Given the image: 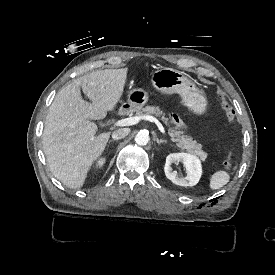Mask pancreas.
Wrapping results in <instances>:
<instances>
[{"mask_svg": "<svg viewBox=\"0 0 275 275\" xmlns=\"http://www.w3.org/2000/svg\"><path fill=\"white\" fill-rule=\"evenodd\" d=\"M120 113L124 114L123 112ZM136 115L139 118H145L151 115L161 117L163 123L168 127L169 135L176 142L178 147L185 150L188 154L198 157L201 161H205L207 158L208 154L201 150V146L197 141L193 140L191 136L185 135V131H181L180 128L171 126L173 120H170L169 117L166 116L160 106H147L143 108L142 111H138Z\"/></svg>", "mask_w": 275, "mask_h": 275, "instance_id": "pancreas-1", "label": "pancreas"}]
</instances>
